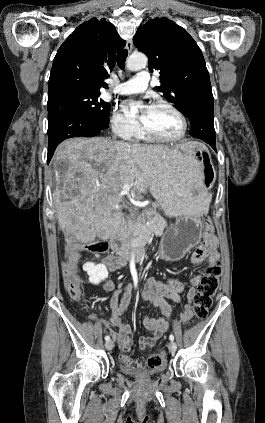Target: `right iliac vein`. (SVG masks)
<instances>
[{"instance_id": "1", "label": "right iliac vein", "mask_w": 265, "mask_h": 423, "mask_svg": "<svg viewBox=\"0 0 265 423\" xmlns=\"http://www.w3.org/2000/svg\"><path fill=\"white\" fill-rule=\"evenodd\" d=\"M113 347H114V342H113L112 340H109V341H107V342L105 343V348H106L107 350H112V349H113Z\"/></svg>"}]
</instances>
